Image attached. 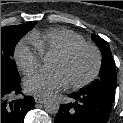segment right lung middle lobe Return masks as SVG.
I'll use <instances>...</instances> for the list:
<instances>
[{
  "instance_id": "right-lung-middle-lobe-1",
  "label": "right lung middle lobe",
  "mask_w": 123,
  "mask_h": 123,
  "mask_svg": "<svg viewBox=\"0 0 123 123\" xmlns=\"http://www.w3.org/2000/svg\"><path fill=\"white\" fill-rule=\"evenodd\" d=\"M35 24L36 22H28L1 28V78H6L13 82L20 81V76L12 60V55L14 54L17 42L25 33L31 30Z\"/></svg>"
}]
</instances>
